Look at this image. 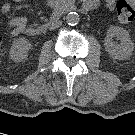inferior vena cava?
I'll list each match as a JSON object with an SVG mask.
<instances>
[{
  "instance_id": "602c4592",
  "label": "inferior vena cava",
  "mask_w": 135,
  "mask_h": 135,
  "mask_svg": "<svg viewBox=\"0 0 135 135\" xmlns=\"http://www.w3.org/2000/svg\"><path fill=\"white\" fill-rule=\"evenodd\" d=\"M61 24H62V21L59 20L58 18H55L52 22L48 23V27L50 30H53L60 27Z\"/></svg>"
}]
</instances>
